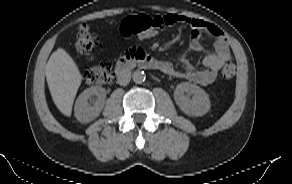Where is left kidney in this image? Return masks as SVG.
Instances as JSON below:
<instances>
[{
  "mask_svg": "<svg viewBox=\"0 0 292 184\" xmlns=\"http://www.w3.org/2000/svg\"><path fill=\"white\" fill-rule=\"evenodd\" d=\"M174 100L178 107L190 116L205 115L211 107L209 95L199 86L189 82L180 83L176 87Z\"/></svg>",
  "mask_w": 292,
  "mask_h": 184,
  "instance_id": "1",
  "label": "left kidney"
}]
</instances>
